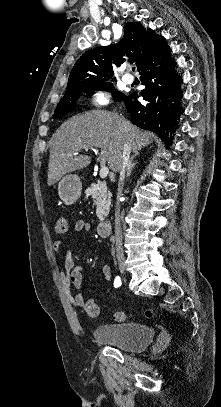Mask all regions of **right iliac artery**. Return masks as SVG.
Listing matches in <instances>:
<instances>
[{
  "label": "right iliac artery",
  "mask_w": 221,
  "mask_h": 407,
  "mask_svg": "<svg viewBox=\"0 0 221 407\" xmlns=\"http://www.w3.org/2000/svg\"><path fill=\"white\" fill-rule=\"evenodd\" d=\"M119 286H121V279L119 276H117L114 280V287L118 288Z\"/></svg>",
  "instance_id": "1"
}]
</instances>
